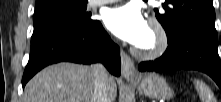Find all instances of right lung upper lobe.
I'll return each instance as SVG.
<instances>
[{
  "label": "right lung upper lobe",
  "instance_id": "1",
  "mask_svg": "<svg viewBox=\"0 0 221 102\" xmlns=\"http://www.w3.org/2000/svg\"><path fill=\"white\" fill-rule=\"evenodd\" d=\"M47 0H36V6H39L41 3L45 2Z\"/></svg>",
  "mask_w": 221,
  "mask_h": 102
}]
</instances>
